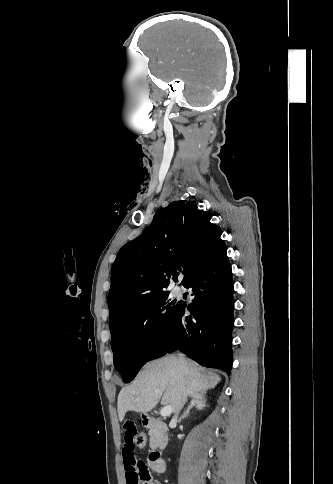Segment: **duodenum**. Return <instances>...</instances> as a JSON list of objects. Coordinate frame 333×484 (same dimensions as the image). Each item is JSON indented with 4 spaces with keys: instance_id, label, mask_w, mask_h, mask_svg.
<instances>
[{
    "instance_id": "obj_1",
    "label": "duodenum",
    "mask_w": 333,
    "mask_h": 484,
    "mask_svg": "<svg viewBox=\"0 0 333 484\" xmlns=\"http://www.w3.org/2000/svg\"><path fill=\"white\" fill-rule=\"evenodd\" d=\"M143 423L145 425V427H149V428H155V429H158L160 431H164L166 429V425L162 422H159L151 417H145L144 420H143ZM164 447V443L161 442L160 445H159V448H163ZM150 464H151V468L153 471L157 472V473H163L165 471V462L163 460V458L160 456V453L159 451H153L151 453V456H150Z\"/></svg>"
}]
</instances>
